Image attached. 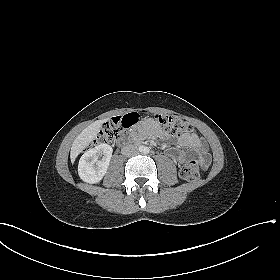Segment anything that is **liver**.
I'll return each instance as SVG.
<instances>
[{
    "mask_svg": "<svg viewBox=\"0 0 280 280\" xmlns=\"http://www.w3.org/2000/svg\"><path fill=\"white\" fill-rule=\"evenodd\" d=\"M105 120H97L86 127L74 140L70 158L71 162L74 163L77 156L93 141L97 136L99 130L102 128V124Z\"/></svg>",
    "mask_w": 280,
    "mask_h": 280,
    "instance_id": "1",
    "label": "liver"
}]
</instances>
